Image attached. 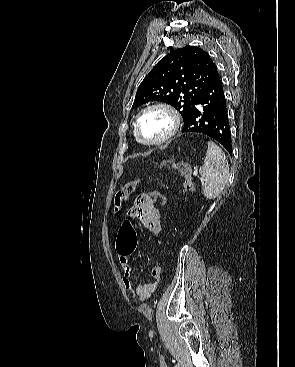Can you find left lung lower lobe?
<instances>
[{
  "mask_svg": "<svg viewBox=\"0 0 295 367\" xmlns=\"http://www.w3.org/2000/svg\"><path fill=\"white\" fill-rule=\"evenodd\" d=\"M182 132L207 135L218 141L231 154L228 107L217 69L187 112Z\"/></svg>",
  "mask_w": 295,
  "mask_h": 367,
  "instance_id": "1",
  "label": "left lung lower lobe"
}]
</instances>
